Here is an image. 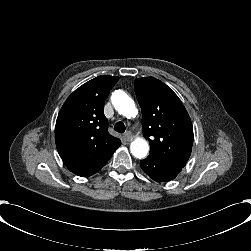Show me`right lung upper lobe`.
Here are the masks:
<instances>
[{"mask_svg": "<svg viewBox=\"0 0 251 251\" xmlns=\"http://www.w3.org/2000/svg\"><path fill=\"white\" fill-rule=\"evenodd\" d=\"M119 80L98 76L76 89L63 104L56 121L55 141L65 166L89 177L101 170L121 141L108 133L105 100Z\"/></svg>", "mask_w": 251, "mask_h": 251, "instance_id": "obj_1", "label": "right lung upper lobe"}]
</instances>
